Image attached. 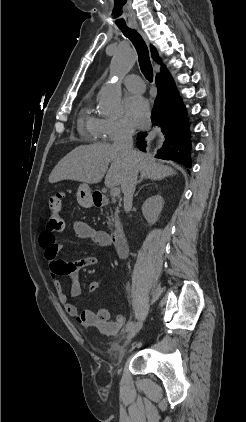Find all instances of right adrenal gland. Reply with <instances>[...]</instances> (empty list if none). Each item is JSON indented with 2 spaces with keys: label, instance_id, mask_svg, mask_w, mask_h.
I'll use <instances>...</instances> for the list:
<instances>
[{
  "label": "right adrenal gland",
  "instance_id": "2a0ac1e0",
  "mask_svg": "<svg viewBox=\"0 0 246 422\" xmlns=\"http://www.w3.org/2000/svg\"><path fill=\"white\" fill-rule=\"evenodd\" d=\"M143 179L144 178H140L139 180H138V183L139 184H141V183H143ZM144 186V184L143 185H141V187L139 188V190L137 191V193L135 194V196H137L138 194H139V192H140V190H141V188Z\"/></svg>",
  "mask_w": 246,
  "mask_h": 422
}]
</instances>
